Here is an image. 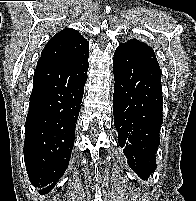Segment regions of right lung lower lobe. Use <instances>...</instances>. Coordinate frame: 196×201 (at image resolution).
Returning <instances> with one entry per match:
<instances>
[{"label": "right lung lower lobe", "instance_id": "obj_1", "mask_svg": "<svg viewBox=\"0 0 196 201\" xmlns=\"http://www.w3.org/2000/svg\"><path fill=\"white\" fill-rule=\"evenodd\" d=\"M88 61L37 68L26 118L24 160L30 182L49 192L68 167Z\"/></svg>", "mask_w": 196, "mask_h": 201}]
</instances>
